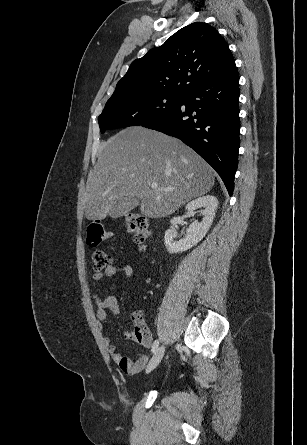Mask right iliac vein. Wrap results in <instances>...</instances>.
Returning <instances> with one entry per match:
<instances>
[{
	"label": "right iliac vein",
	"instance_id": "obj_1",
	"mask_svg": "<svg viewBox=\"0 0 307 445\" xmlns=\"http://www.w3.org/2000/svg\"><path fill=\"white\" fill-rule=\"evenodd\" d=\"M164 353H165V347L164 346L159 347L155 351L154 355L152 356L151 360L149 361V363L147 365L146 373H150L151 371H153L158 366V364L161 362V360H162V358L164 356Z\"/></svg>",
	"mask_w": 307,
	"mask_h": 445
}]
</instances>
